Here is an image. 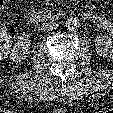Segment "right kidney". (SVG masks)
Returning <instances> with one entry per match:
<instances>
[{
    "label": "right kidney",
    "instance_id": "1",
    "mask_svg": "<svg viewBox=\"0 0 113 113\" xmlns=\"http://www.w3.org/2000/svg\"><path fill=\"white\" fill-rule=\"evenodd\" d=\"M31 40L28 35L23 34L18 37L15 45L11 49L10 59L14 62H23L27 60L30 54Z\"/></svg>",
    "mask_w": 113,
    "mask_h": 113
}]
</instances>
